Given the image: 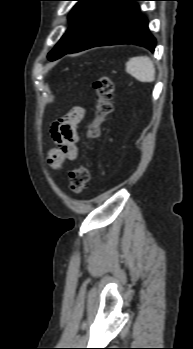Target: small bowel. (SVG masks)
Masks as SVG:
<instances>
[{"label": "small bowel", "instance_id": "c3829d8e", "mask_svg": "<svg viewBox=\"0 0 193 349\" xmlns=\"http://www.w3.org/2000/svg\"><path fill=\"white\" fill-rule=\"evenodd\" d=\"M85 117V109L77 106L52 124L51 137L55 147L48 155L53 168H60L66 159L76 160L79 142L78 128Z\"/></svg>", "mask_w": 193, "mask_h": 349}]
</instances>
